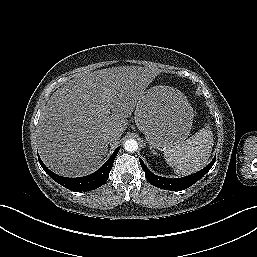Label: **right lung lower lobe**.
I'll list each match as a JSON object with an SVG mask.
<instances>
[{
    "instance_id": "right-lung-lower-lobe-1",
    "label": "right lung lower lobe",
    "mask_w": 257,
    "mask_h": 257,
    "mask_svg": "<svg viewBox=\"0 0 257 257\" xmlns=\"http://www.w3.org/2000/svg\"><path fill=\"white\" fill-rule=\"evenodd\" d=\"M120 147H118L112 156L107 160V162L96 172L78 178H66L59 175L54 174L50 171L41 161L40 157L38 156L40 165L44 169V171L57 183L66 187L67 189L75 192H85L94 190L100 186H102L109 177V172L113 166L114 159L119 152Z\"/></svg>"
}]
</instances>
